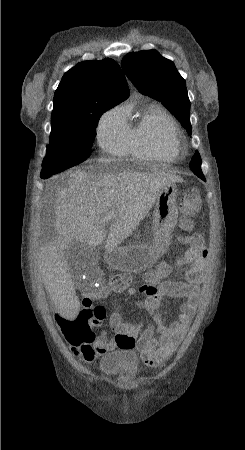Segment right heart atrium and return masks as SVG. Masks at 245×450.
<instances>
[{
    "label": "right heart atrium",
    "instance_id": "d8ad5b80",
    "mask_svg": "<svg viewBox=\"0 0 245 450\" xmlns=\"http://www.w3.org/2000/svg\"><path fill=\"white\" fill-rule=\"evenodd\" d=\"M97 140L107 154L120 157L127 153V122L121 107L102 115L97 125Z\"/></svg>",
    "mask_w": 245,
    "mask_h": 450
}]
</instances>
